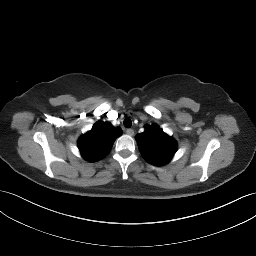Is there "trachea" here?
Masks as SVG:
<instances>
[{"instance_id": "3493384b", "label": "trachea", "mask_w": 256, "mask_h": 256, "mask_svg": "<svg viewBox=\"0 0 256 256\" xmlns=\"http://www.w3.org/2000/svg\"><path fill=\"white\" fill-rule=\"evenodd\" d=\"M124 126H125L126 128H130V127L132 126V121H131V119L126 118V119L124 120Z\"/></svg>"}]
</instances>
